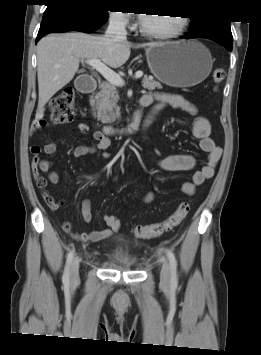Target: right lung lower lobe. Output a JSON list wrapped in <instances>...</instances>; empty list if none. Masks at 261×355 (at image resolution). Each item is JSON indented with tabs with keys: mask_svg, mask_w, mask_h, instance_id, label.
<instances>
[{
	"mask_svg": "<svg viewBox=\"0 0 261 355\" xmlns=\"http://www.w3.org/2000/svg\"><path fill=\"white\" fill-rule=\"evenodd\" d=\"M107 18L96 17L72 3L49 4L42 18L36 43L52 32L81 31L91 33L100 28Z\"/></svg>",
	"mask_w": 261,
	"mask_h": 355,
	"instance_id": "right-lung-lower-lobe-1",
	"label": "right lung lower lobe"
}]
</instances>
